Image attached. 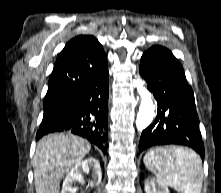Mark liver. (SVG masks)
<instances>
[{
  "instance_id": "liver-1",
  "label": "liver",
  "mask_w": 221,
  "mask_h": 193,
  "mask_svg": "<svg viewBox=\"0 0 221 193\" xmlns=\"http://www.w3.org/2000/svg\"><path fill=\"white\" fill-rule=\"evenodd\" d=\"M90 149L87 140L69 133L41 138L33 159L36 193H59L61 179L81 162Z\"/></svg>"
}]
</instances>
